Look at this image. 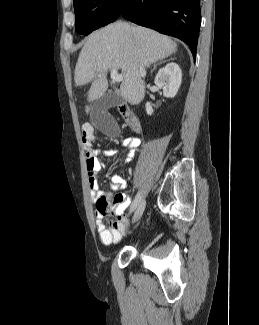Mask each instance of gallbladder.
Instances as JSON below:
<instances>
[{
  "mask_svg": "<svg viewBox=\"0 0 259 325\" xmlns=\"http://www.w3.org/2000/svg\"><path fill=\"white\" fill-rule=\"evenodd\" d=\"M122 102V97L116 91L105 93L97 99L91 112L93 124L103 131L104 136L109 139H120L119 122L115 121L112 115L108 114V109L115 107Z\"/></svg>",
  "mask_w": 259,
  "mask_h": 325,
  "instance_id": "obj_1",
  "label": "gallbladder"
}]
</instances>
